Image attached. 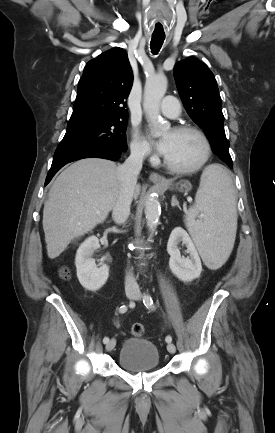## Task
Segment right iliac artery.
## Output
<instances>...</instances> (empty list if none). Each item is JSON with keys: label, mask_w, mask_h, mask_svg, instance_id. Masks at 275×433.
<instances>
[{"label": "right iliac artery", "mask_w": 275, "mask_h": 433, "mask_svg": "<svg viewBox=\"0 0 275 433\" xmlns=\"http://www.w3.org/2000/svg\"><path fill=\"white\" fill-rule=\"evenodd\" d=\"M130 305H132V302L130 303ZM127 309H128V306H126V305H122V306L119 308V312H120V313H125V312L127 311ZM103 342H104V344L108 343V342H109V338H108V337H104Z\"/></svg>", "instance_id": "1"}]
</instances>
